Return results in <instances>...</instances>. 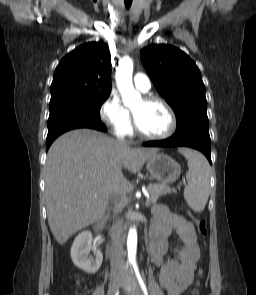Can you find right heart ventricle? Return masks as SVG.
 I'll return each mask as SVG.
<instances>
[{
	"label": "right heart ventricle",
	"instance_id": "1",
	"mask_svg": "<svg viewBox=\"0 0 256 295\" xmlns=\"http://www.w3.org/2000/svg\"><path fill=\"white\" fill-rule=\"evenodd\" d=\"M131 134V129L127 132V134L126 135H130Z\"/></svg>",
	"mask_w": 256,
	"mask_h": 295
}]
</instances>
